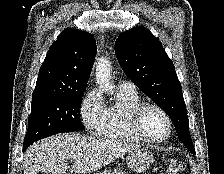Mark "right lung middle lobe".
Listing matches in <instances>:
<instances>
[{"label":"right lung middle lobe","mask_w":224,"mask_h":174,"mask_svg":"<svg viewBox=\"0 0 224 174\" xmlns=\"http://www.w3.org/2000/svg\"><path fill=\"white\" fill-rule=\"evenodd\" d=\"M83 93L32 97L24 145L65 132L83 130L80 107Z\"/></svg>","instance_id":"obj_1"}]
</instances>
